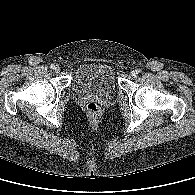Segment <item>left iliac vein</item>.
<instances>
[{
  "label": "left iliac vein",
  "instance_id": "4c4485c4",
  "mask_svg": "<svg viewBox=\"0 0 195 195\" xmlns=\"http://www.w3.org/2000/svg\"><path fill=\"white\" fill-rule=\"evenodd\" d=\"M136 75H137V73H136L135 70H133V71L130 72V76H131V77L134 78V77H136Z\"/></svg>",
  "mask_w": 195,
  "mask_h": 195
}]
</instances>
